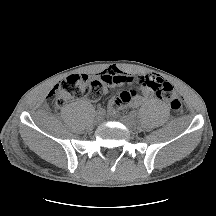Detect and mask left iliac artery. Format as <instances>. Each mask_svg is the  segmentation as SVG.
<instances>
[{
  "instance_id": "1",
  "label": "left iliac artery",
  "mask_w": 216,
  "mask_h": 216,
  "mask_svg": "<svg viewBox=\"0 0 216 216\" xmlns=\"http://www.w3.org/2000/svg\"><path fill=\"white\" fill-rule=\"evenodd\" d=\"M130 115H132L133 117H135L136 113L135 112H131Z\"/></svg>"
}]
</instances>
